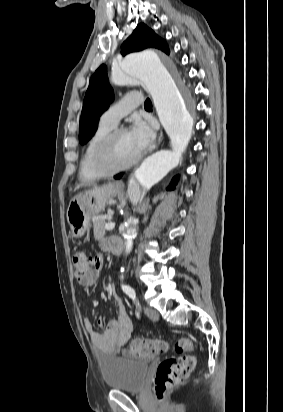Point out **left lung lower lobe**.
I'll use <instances>...</instances> for the list:
<instances>
[{
  "mask_svg": "<svg viewBox=\"0 0 283 412\" xmlns=\"http://www.w3.org/2000/svg\"><path fill=\"white\" fill-rule=\"evenodd\" d=\"M121 176H122V174H118V175L115 176V179H120ZM178 178H179L178 176H176V177L173 178L171 185L167 188L168 190H173V189H174L175 184H176L177 181H178Z\"/></svg>",
  "mask_w": 283,
  "mask_h": 412,
  "instance_id": "obj_1",
  "label": "left lung lower lobe"
}]
</instances>
